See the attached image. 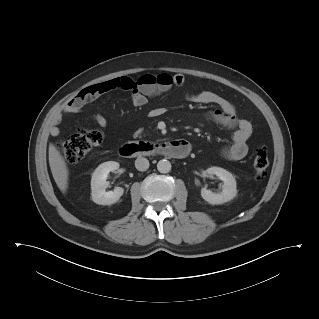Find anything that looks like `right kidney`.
Wrapping results in <instances>:
<instances>
[{
    "mask_svg": "<svg viewBox=\"0 0 319 319\" xmlns=\"http://www.w3.org/2000/svg\"><path fill=\"white\" fill-rule=\"evenodd\" d=\"M119 169V163L108 161L100 164L93 172L91 178V196L96 204L111 205L116 203L123 195L124 189L116 187L113 191H106L109 183L106 181L109 172Z\"/></svg>",
    "mask_w": 319,
    "mask_h": 319,
    "instance_id": "right-kidney-1",
    "label": "right kidney"
}]
</instances>
